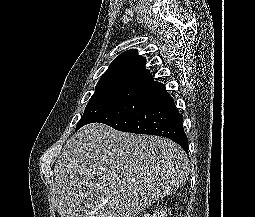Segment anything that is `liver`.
Wrapping results in <instances>:
<instances>
[{"mask_svg":"<svg viewBox=\"0 0 255 217\" xmlns=\"http://www.w3.org/2000/svg\"><path fill=\"white\" fill-rule=\"evenodd\" d=\"M189 159L173 141L89 124L65 144L51 203L61 217H136L181 188Z\"/></svg>","mask_w":255,"mask_h":217,"instance_id":"1","label":"liver"}]
</instances>
